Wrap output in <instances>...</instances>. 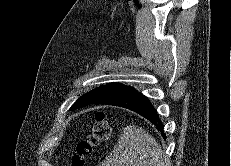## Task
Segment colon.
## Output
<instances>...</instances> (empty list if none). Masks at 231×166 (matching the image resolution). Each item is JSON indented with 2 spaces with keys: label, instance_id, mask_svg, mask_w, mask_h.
<instances>
[{
  "label": "colon",
  "instance_id": "1",
  "mask_svg": "<svg viewBox=\"0 0 231 166\" xmlns=\"http://www.w3.org/2000/svg\"><path fill=\"white\" fill-rule=\"evenodd\" d=\"M110 126L107 116L99 112L95 116L90 133L77 146L72 166H85L96 148L109 138Z\"/></svg>",
  "mask_w": 231,
  "mask_h": 166
}]
</instances>
